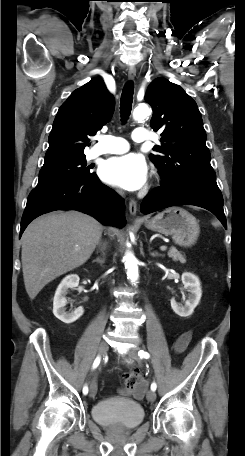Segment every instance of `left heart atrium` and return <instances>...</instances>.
<instances>
[{"label":"left heart atrium","instance_id":"39dd6f15","mask_svg":"<svg viewBox=\"0 0 245 456\" xmlns=\"http://www.w3.org/2000/svg\"><path fill=\"white\" fill-rule=\"evenodd\" d=\"M148 168L145 159L138 154L108 159L101 169V176L109 184L126 190H137L146 182Z\"/></svg>","mask_w":245,"mask_h":456}]
</instances>
